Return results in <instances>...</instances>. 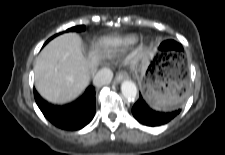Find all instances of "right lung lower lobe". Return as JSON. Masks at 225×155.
Segmentation results:
<instances>
[{
  "label": "right lung lower lobe",
  "instance_id": "1",
  "mask_svg": "<svg viewBox=\"0 0 225 155\" xmlns=\"http://www.w3.org/2000/svg\"><path fill=\"white\" fill-rule=\"evenodd\" d=\"M34 97L45 118L64 130L82 129L93 119L96 110L95 91L91 86L77 101L64 106L49 104L35 89Z\"/></svg>",
  "mask_w": 225,
  "mask_h": 155
}]
</instances>
